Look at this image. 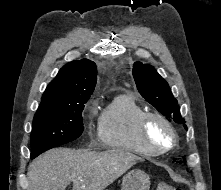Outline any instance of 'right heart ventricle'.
<instances>
[{"instance_id": "e07e8e85", "label": "right heart ventricle", "mask_w": 221, "mask_h": 190, "mask_svg": "<svg viewBox=\"0 0 221 190\" xmlns=\"http://www.w3.org/2000/svg\"><path fill=\"white\" fill-rule=\"evenodd\" d=\"M145 112V107L132 93L115 94L99 117L100 141L108 148L154 155L141 142L138 134V122Z\"/></svg>"}]
</instances>
